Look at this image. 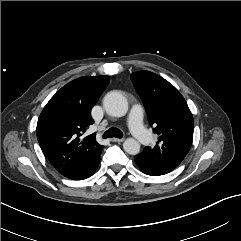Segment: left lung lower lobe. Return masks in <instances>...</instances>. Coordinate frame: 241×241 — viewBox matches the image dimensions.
Returning <instances> with one entry per match:
<instances>
[{"instance_id":"0a47b994","label":"left lung lower lobe","mask_w":241,"mask_h":241,"mask_svg":"<svg viewBox=\"0 0 241 241\" xmlns=\"http://www.w3.org/2000/svg\"><path fill=\"white\" fill-rule=\"evenodd\" d=\"M135 162L138 165L139 169L147 174V175H151V176H159V175H164L166 173L171 172L173 169L167 168V167H163V166H151V165H143L140 164L136 158H135Z\"/></svg>"}]
</instances>
